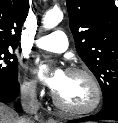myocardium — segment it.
Instances as JSON below:
<instances>
[{"label":"myocardium","mask_w":118,"mask_h":123,"mask_svg":"<svg viewBox=\"0 0 118 123\" xmlns=\"http://www.w3.org/2000/svg\"><path fill=\"white\" fill-rule=\"evenodd\" d=\"M67 73L83 75L88 80L93 89V100L89 105L84 107H71L64 104L57 94L53 92L52 98L54 104L62 111L71 115H86L97 110L102 102V89L94 74L82 67H71L67 70Z\"/></svg>","instance_id":"f54148a6"}]
</instances>
